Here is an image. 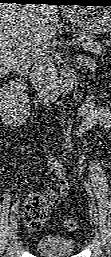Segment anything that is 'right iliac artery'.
<instances>
[{"mask_svg":"<svg viewBox=\"0 0 111 257\" xmlns=\"http://www.w3.org/2000/svg\"><path fill=\"white\" fill-rule=\"evenodd\" d=\"M17 207H18V203H15V205L12 207V213H11V216H10L11 223L13 222V220L15 218V213L17 211Z\"/></svg>","mask_w":111,"mask_h":257,"instance_id":"82829eb1","label":"right iliac artery"}]
</instances>
